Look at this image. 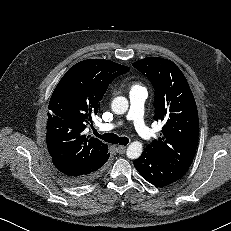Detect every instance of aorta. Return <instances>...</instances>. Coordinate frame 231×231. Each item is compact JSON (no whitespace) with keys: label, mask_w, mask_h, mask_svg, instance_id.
<instances>
[{"label":"aorta","mask_w":231,"mask_h":231,"mask_svg":"<svg viewBox=\"0 0 231 231\" xmlns=\"http://www.w3.org/2000/svg\"><path fill=\"white\" fill-rule=\"evenodd\" d=\"M111 108L115 114H124L128 110V100L123 96H118L113 99ZM142 151V143L139 141H134L128 146L126 155L130 159H137L142 154Z\"/></svg>","instance_id":"aorta-1"}]
</instances>
